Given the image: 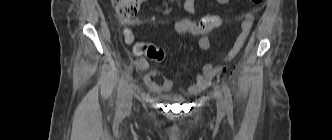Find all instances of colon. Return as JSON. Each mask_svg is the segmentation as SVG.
<instances>
[{
	"mask_svg": "<svg viewBox=\"0 0 332 140\" xmlns=\"http://www.w3.org/2000/svg\"><path fill=\"white\" fill-rule=\"evenodd\" d=\"M142 1L112 0V3L120 17L131 19L138 13ZM263 2L264 0H251V3L254 5H259ZM221 24L222 19L219 16L207 15L198 22L191 20L176 21L173 24V31L177 35L190 34L201 37L208 35L211 31L220 27ZM128 39L131 40L130 34H128ZM135 52L137 55H142L155 61H161L165 57L164 50L152 44L139 43L135 46Z\"/></svg>",
	"mask_w": 332,
	"mask_h": 140,
	"instance_id": "obj_1",
	"label": "colon"
}]
</instances>
